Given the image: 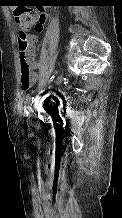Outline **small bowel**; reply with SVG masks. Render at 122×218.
Returning a JSON list of instances; mask_svg holds the SVG:
<instances>
[{"instance_id": "c3829d8e", "label": "small bowel", "mask_w": 122, "mask_h": 218, "mask_svg": "<svg viewBox=\"0 0 122 218\" xmlns=\"http://www.w3.org/2000/svg\"><path fill=\"white\" fill-rule=\"evenodd\" d=\"M31 56H32V54H31ZM31 68H32V71H33V74H34L33 83H35L39 79L38 71H39L40 66L38 65L37 61H34L33 58H32V61H31Z\"/></svg>"}]
</instances>
